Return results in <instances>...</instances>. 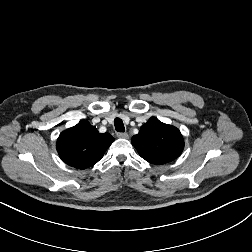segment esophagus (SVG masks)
Returning <instances> with one entry per match:
<instances>
[{
    "instance_id": "esophagus-1",
    "label": "esophagus",
    "mask_w": 252,
    "mask_h": 252,
    "mask_svg": "<svg viewBox=\"0 0 252 252\" xmlns=\"http://www.w3.org/2000/svg\"><path fill=\"white\" fill-rule=\"evenodd\" d=\"M117 137L127 139L129 135L126 132H118Z\"/></svg>"
}]
</instances>
